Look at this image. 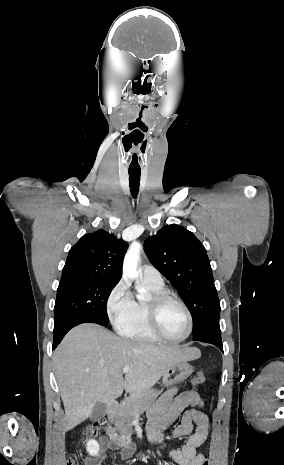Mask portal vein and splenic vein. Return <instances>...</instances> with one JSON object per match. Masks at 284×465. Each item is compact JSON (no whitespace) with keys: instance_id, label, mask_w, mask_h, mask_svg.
Listing matches in <instances>:
<instances>
[{"instance_id":"1","label":"portal vein and splenic vein","mask_w":284,"mask_h":465,"mask_svg":"<svg viewBox=\"0 0 284 465\" xmlns=\"http://www.w3.org/2000/svg\"><path fill=\"white\" fill-rule=\"evenodd\" d=\"M122 371L123 373H129L130 367H123Z\"/></svg>"}]
</instances>
